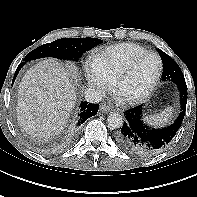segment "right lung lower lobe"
I'll return each instance as SVG.
<instances>
[{"instance_id": "obj_1", "label": "right lung lower lobe", "mask_w": 197, "mask_h": 197, "mask_svg": "<svg viewBox=\"0 0 197 197\" xmlns=\"http://www.w3.org/2000/svg\"><path fill=\"white\" fill-rule=\"evenodd\" d=\"M25 64V62H22L19 64V66L17 67V70L15 72L14 78H13V82L18 74V72L20 71V69L22 68V66ZM81 112L79 114V120L77 122V126H80L83 122H85L89 117L96 115L98 109H99V105L98 104H91V103H87V102H82L81 105Z\"/></svg>"}]
</instances>
